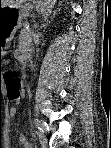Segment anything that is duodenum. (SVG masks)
Segmentation results:
<instances>
[{
  "label": "duodenum",
  "mask_w": 111,
  "mask_h": 148,
  "mask_svg": "<svg viewBox=\"0 0 111 148\" xmlns=\"http://www.w3.org/2000/svg\"><path fill=\"white\" fill-rule=\"evenodd\" d=\"M20 59H21V62L23 63V64H26L27 63V61H28V59H29V57H28V55L27 54H21L20 55Z\"/></svg>",
  "instance_id": "1"
}]
</instances>
